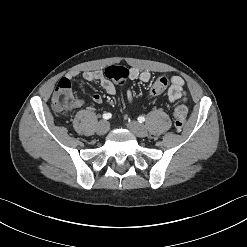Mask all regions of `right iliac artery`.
I'll list each match as a JSON object with an SVG mask.
<instances>
[{"mask_svg": "<svg viewBox=\"0 0 247 247\" xmlns=\"http://www.w3.org/2000/svg\"><path fill=\"white\" fill-rule=\"evenodd\" d=\"M112 117V114L111 113H105V114H103V118L104 119H110Z\"/></svg>", "mask_w": 247, "mask_h": 247, "instance_id": "right-iliac-artery-1", "label": "right iliac artery"}]
</instances>
